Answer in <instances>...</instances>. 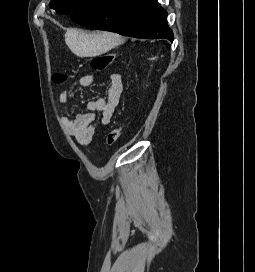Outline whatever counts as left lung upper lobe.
Segmentation results:
<instances>
[{"label":"left lung upper lobe","instance_id":"left-lung-upper-lobe-1","mask_svg":"<svg viewBox=\"0 0 255 272\" xmlns=\"http://www.w3.org/2000/svg\"><path fill=\"white\" fill-rule=\"evenodd\" d=\"M89 1L90 0H52L49 6L56 10L58 14H69L74 13Z\"/></svg>","mask_w":255,"mask_h":272}]
</instances>
